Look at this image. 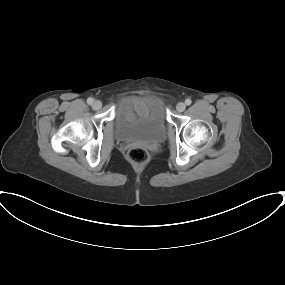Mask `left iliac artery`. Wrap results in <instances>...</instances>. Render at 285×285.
Segmentation results:
<instances>
[{
	"label": "left iliac artery",
	"instance_id": "left-iliac-artery-1",
	"mask_svg": "<svg viewBox=\"0 0 285 285\" xmlns=\"http://www.w3.org/2000/svg\"><path fill=\"white\" fill-rule=\"evenodd\" d=\"M186 105H191L192 101L190 99L185 100Z\"/></svg>",
	"mask_w": 285,
	"mask_h": 285
}]
</instances>
